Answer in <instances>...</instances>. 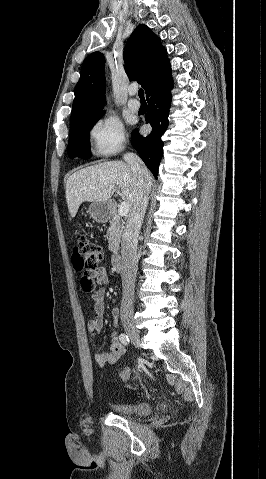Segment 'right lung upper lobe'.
<instances>
[{"instance_id": "right-lung-upper-lobe-1", "label": "right lung upper lobe", "mask_w": 266, "mask_h": 479, "mask_svg": "<svg viewBox=\"0 0 266 479\" xmlns=\"http://www.w3.org/2000/svg\"><path fill=\"white\" fill-rule=\"evenodd\" d=\"M125 72L136 80L147 94L171 77L167 51L149 27L144 24L130 35L124 49ZM104 56L90 54L83 62L80 79L75 88L70 123L104 113L101 103L105 99Z\"/></svg>"}]
</instances>
